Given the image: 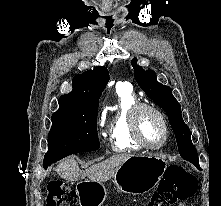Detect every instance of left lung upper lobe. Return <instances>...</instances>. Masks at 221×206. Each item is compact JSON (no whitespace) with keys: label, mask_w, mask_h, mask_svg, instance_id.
<instances>
[{"label":"left lung upper lobe","mask_w":221,"mask_h":206,"mask_svg":"<svg viewBox=\"0 0 221 206\" xmlns=\"http://www.w3.org/2000/svg\"><path fill=\"white\" fill-rule=\"evenodd\" d=\"M132 66L134 77L139 86L150 99L167 113L181 157L198 166V155L191 141L189 127L182 119L181 106L172 95L170 87L159 83L154 71H145L137 65L136 58L132 60Z\"/></svg>","instance_id":"obj_1"}]
</instances>
